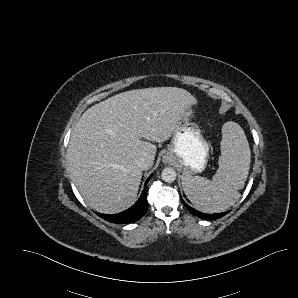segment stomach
Segmentation results:
<instances>
[{
  "mask_svg": "<svg viewBox=\"0 0 298 298\" xmlns=\"http://www.w3.org/2000/svg\"><path fill=\"white\" fill-rule=\"evenodd\" d=\"M194 116L195 109L192 105L182 109L170 143L162 155L163 163L177 166L183 171V187H185L184 173H202L207 167L210 156V143L199 124L193 121Z\"/></svg>",
  "mask_w": 298,
  "mask_h": 298,
  "instance_id": "0dacf381",
  "label": "stomach"
}]
</instances>
